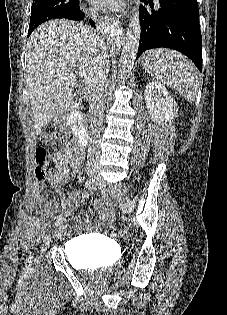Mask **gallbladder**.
Instances as JSON below:
<instances>
[{
    "label": "gallbladder",
    "mask_w": 227,
    "mask_h": 315,
    "mask_svg": "<svg viewBox=\"0 0 227 315\" xmlns=\"http://www.w3.org/2000/svg\"><path fill=\"white\" fill-rule=\"evenodd\" d=\"M65 113H66V110H64L62 113H60L54 121L56 123L62 122L64 120Z\"/></svg>",
    "instance_id": "bac80fb5"
}]
</instances>
